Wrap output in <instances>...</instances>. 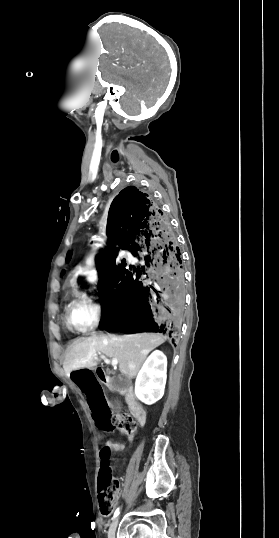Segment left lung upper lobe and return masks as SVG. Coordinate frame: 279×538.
<instances>
[{
	"label": "left lung upper lobe",
	"instance_id": "1",
	"mask_svg": "<svg viewBox=\"0 0 279 538\" xmlns=\"http://www.w3.org/2000/svg\"><path fill=\"white\" fill-rule=\"evenodd\" d=\"M70 257H71V254L68 253V255H67V261L70 259ZM62 274H64V271L62 272Z\"/></svg>",
	"mask_w": 279,
	"mask_h": 538
}]
</instances>
